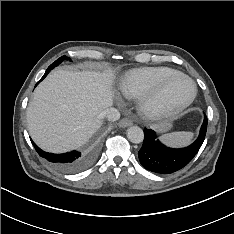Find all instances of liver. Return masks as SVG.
I'll list each match as a JSON object with an SVG mask.
<instances>
[{
  "label": "liver",
  "instance_id": "obj_1",
  "mask_svg": "<svg viewBox=\"0 0 234 234\" xmlns=\"http://www.w3.org/2000/svg\"><path fill=\"white\" fill-rule=\"evenodd\" d=\"M114 72L56 70L42 81L27 108L34 142L48 152L83 145L102 125L100 114L112 105Z\"/></svg>",
  "mask_w": 234,
  "mask_h": 234
}]
</instances>
